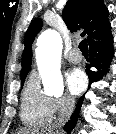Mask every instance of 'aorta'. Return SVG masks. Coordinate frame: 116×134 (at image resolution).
<instances>
[{
    "label": "aorta",
    "mask_w": 116,
    "mask_h": 134,
    "mask_svg": "<svg viewBox=\"0 0 116 134\" xmlns=\"http://www.w3.org/2000/svg\"><path fill=\"white\" fill-rule=\"evenodd\" d=\"M35 53L46 94L54 96L62 95L64 84L60 71L62 53L60 34L53 29H48L41 33L37 39Z\"/></svg>",
    "instance_id": "762f6f07"
}]
</instances>
